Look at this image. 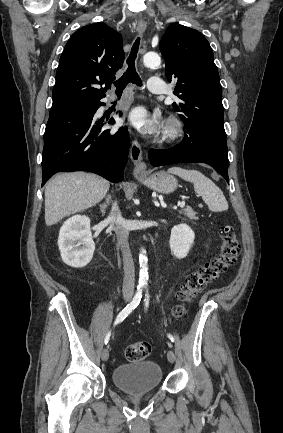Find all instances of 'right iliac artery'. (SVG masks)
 Here are the masks:
<instances>
[{
  "label": "right iliac artery",
  "mask_w": 283,
  "mask_h": 433,
  "mask_svg": "<svg viewBox=\"0 0 283 433\" xmlns=\"http://www.w3.org/2000/svg\"><path fill=\"white\" fill-rule=\"evenodd\" d=\"M142 298V289L138 288L133 300L119 313L114 325L122 322L140 303ZM110 332L105 337L104 343L107 344L110 339Z\"/></svg>",
  "instance_id": "right-iliac-artery-1"
}]
</instances>
